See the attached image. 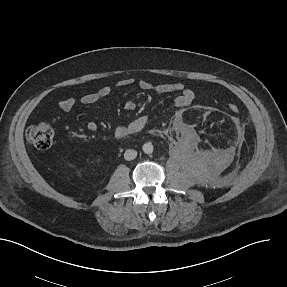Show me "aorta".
Segmentation results:
<instances>
[{
	"label": "aorta",
	"mask_w": 287,
	"mask_h": 287,
	"mask_svg": "<svg viewBox=\"0 0 287 287\" xmlns=\"http://www.w3.org/2000/svg\"><path fill=\"white\" fill-rule=\"evenodd\" d=\"M142 149L144 153L151 154L153 152V145L151 142H146L143 144Z\"/></svg>",
	"instance_id": "762f6f07"
}]
</instances>
